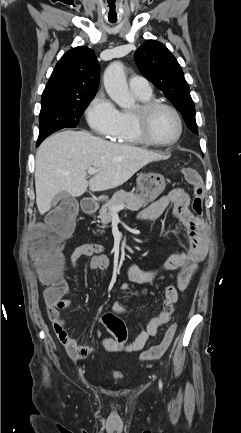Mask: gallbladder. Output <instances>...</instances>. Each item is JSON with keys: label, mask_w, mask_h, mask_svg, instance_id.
Wrapping results in <instances>:
<instances>
[{"label": "gallbladder", "mask_w": 241, "mask_h": 433, "mask_svg": "<svg viewBox=\"0 0 241 433\" xmlns=\"http://www.w3.org/2000/svg\"><path fill=\"white\" fill-rule=\"evenodd\" d=\"M60 200H68L70 202V206L68 207L67 211L72 217H76L79 211V203L75 199H71L70 195L65 192H59L56 194L52 199V205L55 206Z\"/></svg>", "instance_id": "bac80fb5"}]
</instances>
